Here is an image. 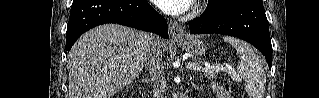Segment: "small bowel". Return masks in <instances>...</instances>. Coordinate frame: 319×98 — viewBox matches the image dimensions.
Here are the masks:
<instances>
[{"instance_id": "c3829d8e", "label": "small bowel", "mask_w": 319, "mask_h": 98, "mask_svg": "<svg viewBox=\"0 0 319 98\" xmlns=\"http://www.w3.org/2000/svg\"><path fill=\"white\" fill-rule=\"evenodd\" d=\"M216 90L218 91V93H220V94H219L220 97H222V98H230L228 95L222 94V90H221V89L216 88Z\"/></svg>"}]
</instances>
